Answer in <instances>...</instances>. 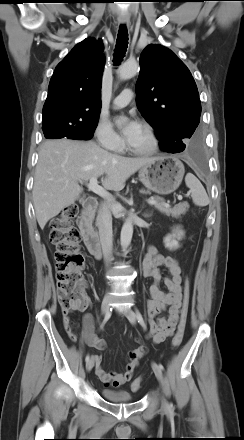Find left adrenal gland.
<instances>
[{"label":"left adrenal gland","mask_w":244,"mask_h":440,"mask_svg":"<svg viewBox=\"0 0 244 440\" xmlns=\"http://www.w3.org/2000/svg\"><path fill=\"white\" fill-rule=\"evenodd\" d=\"M152 216V214H144V217L145 218H149V217H151Z\"/></svg>","instance_id":"obj_1"}]
</instances>
